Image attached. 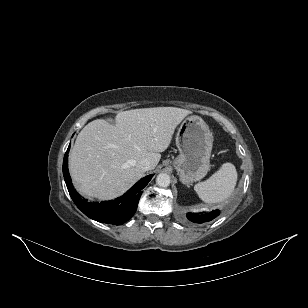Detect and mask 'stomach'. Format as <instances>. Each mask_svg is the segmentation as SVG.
Here are the masks:
<instances>
[{"label":"stomach","mask_w":308,"mask_h":308,"mask_svg":"<svg viewBox=\"0 0 308 308\" xmlns=\"http://www.w3.org/2000/svg\"><path fill=\"white\" fill-rule=\"evenodd\" d=\"M212 145V133L201 117L192 115L181 123L176 134L179 155L172 164L183 184L190 185L207 174Z\"/></svg>","instance_id":"0dacf381"}]
</instances>
